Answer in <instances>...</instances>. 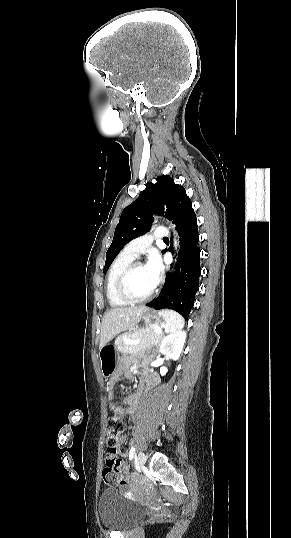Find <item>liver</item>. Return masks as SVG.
I'll return each mask as SVG.
<instances>
[{
    "mask_svg": "<svg viewBox=\"0 0 291 538\" xmlns=\"http://www.w3.org/2000/svg\"><path fill=\"white\" fill-rule=\"evenodd\" d=\"M148 310L146 306L108 309L102 321L99 347L105 346L117 334L134 328Z\"/></svg>",
    "mask_w": 291,
    "mask_h": 538,
    "instance_id": "6515ba94",
    "label": "liver"
}]
</instances>
